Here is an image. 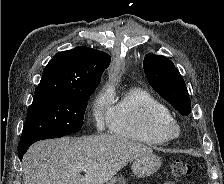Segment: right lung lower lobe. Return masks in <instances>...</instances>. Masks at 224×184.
<instances>
[{
    "label": "right lung lower lobe",
    "mask_w": 224,
    "mask_h": 184,
    "mask_svg": "<svg viewBox=\"0 0 224 184\" xmlns=\"http://www.w3.org/2000/svg\"><path fill=\"white\" fill-rule=\"evenodd\" d=\"M30 145L18 146V156L22 160L23 154L27 151Z\"/></svg>",
    "instance_id": "right-lung-lower-lobe-1"
}]
</instances>
